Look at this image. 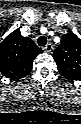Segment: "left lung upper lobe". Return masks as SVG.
<instances>
[{"mask_svg":"<svg viewBox=\"0 0 81 124\" xmlns=\"http://www.w3.org/2000/svg\"><path fill=\"white\" fill-rule=\"evenodd\" d=\"M53 58L61 75L68 80H81V39L73 32L63 36Z\"/></svg>","mask_w":81,"mask_h":124,"instance_id":"obj_1","label":"left lung upper lobe"}]
</instances>
